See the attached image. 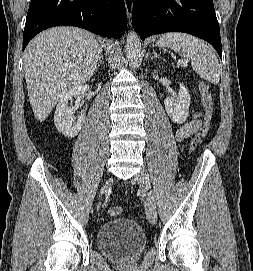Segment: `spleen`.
<instances>
[{"mask_svg":"<svg viewBox=\"0 0 253 271\" xmlns=\"http://www.w3.org/2000/svg\"><path fill=\"white\" fill-rule=\"evenodd\" d=\"M159 47H170L180 56L191 61L193 70L204 80L213 84L220 81L221 69L213 50L202 40L178 32L162 35L157 41Z\"/></svg>","mask_w":253,"mask_h":271,"instance_id":"obj_1","label":"spleen"}]
</instances>
